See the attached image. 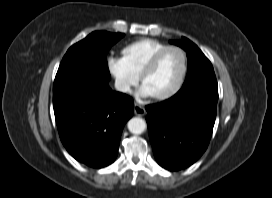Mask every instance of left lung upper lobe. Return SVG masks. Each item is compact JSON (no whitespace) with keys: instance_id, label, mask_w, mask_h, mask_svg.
I'll return each instance as SVG.
<instances>
[{"instance_id":"obj_1","label":"left lung upper lobe","mask_w":272,"mask_h":198,"mask_svg":"<svg viewBox=\"0 0 272 198\" xmlns=\"http://www.w3.org/2000/svg\"><path fill=\"white\" fill-rule=\"evenodd\" d=\"M170 43L180 46L187 53L188 73L184 85L197 80L216 78L211 62L193 42L182 37L181 40H172Z\"/></svg>"}]
</instances>
